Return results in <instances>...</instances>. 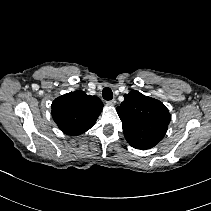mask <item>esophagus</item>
Returning <instances> with one entry per match:
<instances>
[{"label": "esophagus", "mask_w": 211, "mask_h": 211, "mask_svg": "<svg viewBox=\"0 0 211 211\" xmlns=\"http://www.w3.org/2000/svg\"><path fill=\"white\" fill-rule=\"evenodd\" d=\"M106 103L109 106H114L116 104V100L115 99H112V100L107 101Z\"/></svg>", "instance_id": "esophagus-1"}]
</instances>
